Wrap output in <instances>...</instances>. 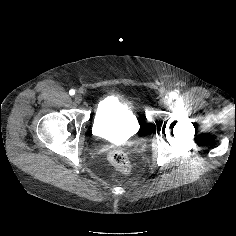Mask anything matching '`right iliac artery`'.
<instances>
[{
    "label": "right iliac artery",
    "instance_id": "obj_1",
    "mask_svg": "<svg viewBox=\"0 0 236 236\" xmlns=\"http://www.w3.org/2000/svg\"><path fill=\"white\" fill-rule=\"evenodd\" d=\"M69 94L72 96V95H74L75 94V90L74 89H71L70 91H69Z\"/></svg>",
    "mask_w": 236,
    "mask_h": 236
}]
</instances>
